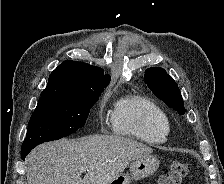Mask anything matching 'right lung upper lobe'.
<instances>
[{"mask_svg": "<svg viewBox=\"0 0 224 184\" xmlns=\"http://www.w3.org/2000/svg\"><path fill=\"white\" fill-rule=\"evenodd\" d=\"M110 76L96 66L66 60L49 76L41 96H77L103 90Z\"/></svg>", "mask_w": 224, "mask_h": 184, "instance_id": "right-lung-upper-lobe-1", "label": "right lung upper lobe"}]
</instances>
